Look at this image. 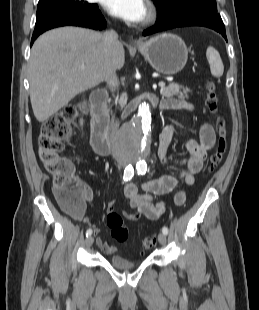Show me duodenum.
Returning a JSON list of instances; mask_svg holds the SVG:
<instances>
[{
	"instance_id": "duodenum-1",
	"label": "duodenum",
	"mask_w": 259,
	"mask_h": 310,
	"mask_svg": "<svg viewBox=\"0 0 259 310\" xmlns=\"http://www.w3.org/2000/svg\"><path fill=\"white\" fill-rule=\"evenodd\" d=\"M108 94L104 90L95 91L91 96L92 120L90 142L92 149L99 155H107L111 152L109 138V116L106 107ZM146 101L157 105L153 96L143 97L136 104Z\"/></svg>"
}]
</instances>
